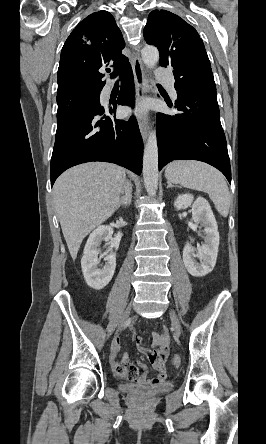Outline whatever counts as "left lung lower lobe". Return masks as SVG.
<instances>
[{
  "label": "left lung lower lobe",
  "mask_w": 266,
  "mask_h": 444,
  "mask_svg": "<svg viewBox=\"0 0 266 444\" xmlns=\"http://www.w3.org/2000/svg\"><path fill=\"white\" fill-rule=\"evenodd\" d=\"M175 106L181 113L157 114L159 170L173 160H199L219 169L231 183L216 91H177Z\"/></svg>",
  "instance_id": "obj_1"
}]
</instances>
